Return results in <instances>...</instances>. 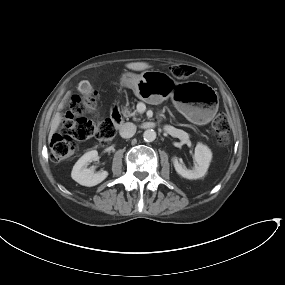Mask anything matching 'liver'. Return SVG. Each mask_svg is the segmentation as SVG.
<instances>
[{
    "mask_svg": "<svg viewBox=\"0 0 285 285\" xmlns=\"http://www.w3.org/2000/svg\"><path fill=\"white\" fill-rule=\"evenodd\" d=\"M126 67L128 69H132V70H135V71H142V70L151 68V66L148 63H145V62H131V63L126 64ZM80 84H81V82H80ZM80 84H79V88H80ZM69 95H70V92H68L64 96L63 100L59 104V107H58L59 110L63 109L64 104H65L66 100L68 99ZM61 121H62L61 114L59 112H57L55 114V116L53 117V119L51 120V124H50L51 128H50V133H49V137H48V141L49 142L51 141L53 134L57 131Z\"/></svg>",
    "mask_w": 285,
    "mask_h": 285,
    "instance_id": "1",
    "label": "liver"
}]
</instances>
